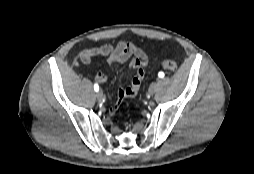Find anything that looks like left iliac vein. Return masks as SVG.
Instances as JSON below:
<instances>
[{"mask_svg":"<svg viewBox=\"0 0 254 174\" xmlns=\"http://www.w3.org/2000/svg\"><path fill=\"white\" fill-rule=\"evenodd\" d=\"M158 89V84L157 83H152L149 87L148 93L150 95H153Z\"/></svg>","mask_w":254,"mask_h":174,"instance_id":"obj_1","label":"left iliac vein"}]
</instances>
